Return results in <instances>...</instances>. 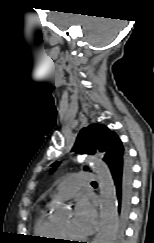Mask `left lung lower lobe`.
Masks as SVG:
<instances>
[{
    "instance_id": "left-lung-lower-lobe-1",
    "label": "left lung lower lobe",
    "mask_w": 154,
    "mask_h": 243,
    "mask_svg": "<svg viewBox=\"0 0 154 243\" xmlns=\"http://www.w3.org/2000/svg\"><path fill=\"white\" fill-rule=\"evenodd\" d=\"M106 162L110 168L115 188L116 207L118 212L116 240L118 243H121L124 238L130 210L132 192L131 163L126 152L124 158L117 155L115 158H107Z\"/></svg>"
}]
</instances>
